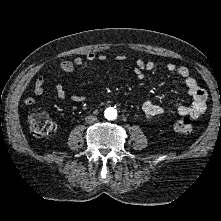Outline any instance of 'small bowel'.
<instances>
[{"label":"small bowel","mask_w":221,"mask_h":221,"mask_svg":"<svg viewBox=\"0 0 221 221\" xmlns=\"http://www.w3.org/2000/svg\"><path fill=\"white\" fill-rule=\"evenodd\" d=\"M109 57L106 54H95L88 53L84 58L76 57L73 60H64L57 65V70L65 73H71L76 68H81L83 71H89L96 60L101 62L107 61ZM118 62H123L127 60V57L123 54H119L115 57ZM155 68V63L147 61L145 59H138L136 62V67L134 69L135 77L138 80L144 78V72L152 70ZM165 70L171 74H176L184 82L188 93L192 97V103L189 106H179L175 109V114L178 116H190L192 118H198L201 116L207 107V92L199 86L197 80L192 76L191 71L186 66H178L174 63L168 62L165 64ZM45 90V80L43 77L36 79L33 85V93L35 95H41ZM56 95L57 97L64 101L67 98L64 86L61 83L56 85ZM75 101H83V97L74 96L72 97ZM24 102L27 105H32L35 103V98L33 96H27L24 98ZM141 112L143 115L149 119L159 116L163 112V107L158 103L147 100L141 104Z\"/></svg>","instance_id":"1"}]
</instances>
